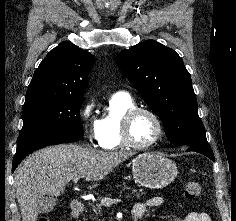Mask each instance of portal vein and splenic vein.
I'll use <instances>...</instances> for the list:
<instances>
[{"label":"portal vein and splenic vein","mask_w":236,"mask_h":221,"mask_svg":"<svg viewBox=\"0 0 236 221\" xmlns=\"http://www.w3.org/2000/svg\"><path fill=\"white\" fill-rule=\"evenodd\" d=\"M78 180H79V178H75V179H73V182L77 183ZM121 201L122 200L119 199V198H114V199H112V198H102V199H100V204L104 205V206H111L112 204H116V203H119Z\"/></svg>","instance_id":"obj_1"}]
</instances>
